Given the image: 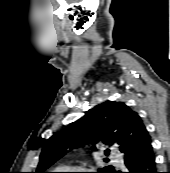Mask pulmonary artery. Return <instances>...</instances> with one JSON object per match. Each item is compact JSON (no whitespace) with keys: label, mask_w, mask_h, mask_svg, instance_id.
Segmentation results:
<instances>
[{"label":"pulmonary artery","mask_w":170,"mask_h":173,"mask_svg":"<svg viewBox=\"0 0 170 173\" xmlns=\"http://www.w3.org/2000/svg\"><path fill=\"white\" fill-rule=\"evenodd\" d=\"M115 158H116V163L118 165H122L123 164V161L118 156H116Z\"/></svg>","instance_id":"e3ab8cb5"}]
</instances>
